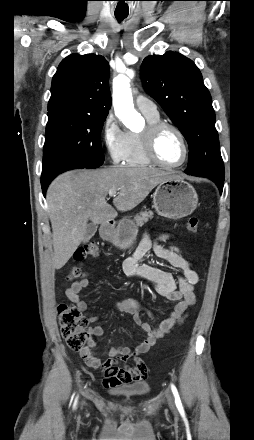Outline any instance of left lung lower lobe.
<instances>
[{"instance_id": "1", "label": "left lung lower lobe", "mask_w": 254, "mask_h": 440, "mask_svg": "<svg viewBox=\"0 0 254 440\" xmlns=\"http://www.w3.org/2000/svg\"><path fill=\"white\" fill-rule=\"evenodd\" d=\"M210 179L213 180L217 184L220 192H222L224 179H219V178H215V177H211Z\"/></svg>"}]
</instances>
